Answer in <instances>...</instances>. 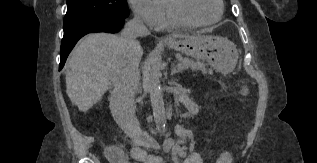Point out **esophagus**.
Returning a JSON list of instances; mask_svg holds the SVG:
<instances>
[{
	"label": "esophagus",
	"instance_id": "1",
	"mask_svg": "<svg viewBox=\"0 0 317 163\" xmlns=\"http://www.w3.org/2000/svg\"><path fill=\"white\" fill-rule=\"evenodd\" d=\"M169 38L168 37H164V40H168Z\"/></svg>",
	"mask_w": 317,
	"mask_h": 163
}]
</instances>
